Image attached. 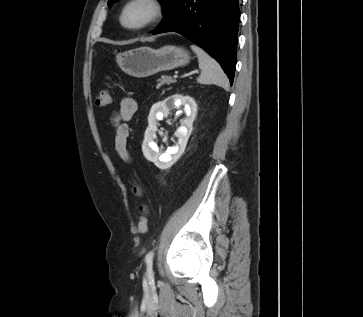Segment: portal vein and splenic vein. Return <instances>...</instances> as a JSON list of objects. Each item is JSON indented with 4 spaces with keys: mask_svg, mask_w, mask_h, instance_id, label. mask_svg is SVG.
<instances>
[{
    "mask_svg": "<svg viewBox=\"0 0 363 317\" xmlns=\"http://www.w3.org/2000/svg\"><path fill=\"white\" fill-rule=\"evenodd\" d=\"M192 73H193V74H194V73H198V70H195V71H193ZM173 77H174V79L178 78V76H177V75H174Z\"/></svg>",
    "mask_w": 363,
    "mask_h": 317,
    "instance_id": "1",
    "label": "portal vein and splenic vein"
}]
</instances>
